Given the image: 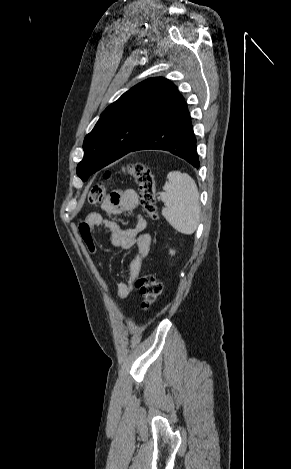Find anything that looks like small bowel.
<instances>
[{
	"instance_id": "obj_1",
	"label": "small bowel",
	"mask_w": 291,
	"mask_h": 469,
	"mask_svg": "<svg viewBox=\"0 0 291 469\" xmlns=\"http://www.w3.org/2000/svg\"><path fill=\"white\" fill-rule=\"evenodd\" d=\"M138 207V195L132 189L115 191L101 204L103 212L113 218H105L101 213H90L80 225V233L91 253L95 251V228L103 226L110 233L111 243L114 247L129 250L136 246L137 251L131 263V276L127 281H121L117 287L119 298H127L132 290L134 281L138 275L140 264L150 252L151 238L143 233L146 221L142 216H137L136 225L133 228H123L115 220L116 217L133 213Z\"/></svg>"
}]
</instances>
